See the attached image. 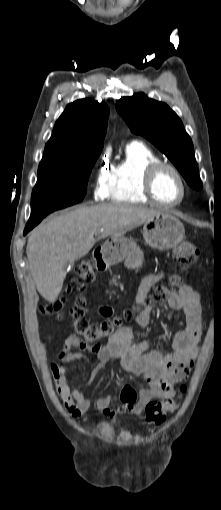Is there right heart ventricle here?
<instances>
[{
	"label": "right heart ventricle",
	"mask_w": 221,
	"mask_h": 510,
	"mask_svg": "<svg viewBox=\"0 0 221 510\" xmlns=\"http://www.w3.org/2000/svg\"><path fill=\"white\" fill-rule=\"evenodd\" d=\"M158 156L144 143L132 141L125 148L124 158L111 170L109 198L112 202L147 203L142 189L144 168L158 161Z\"/></svg>",
	"instance_id": "obj_1"
}]
</instances>
